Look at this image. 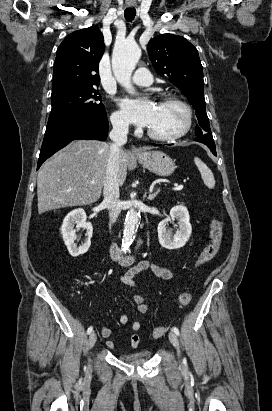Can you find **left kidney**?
Wrapping results in <instances>:
<instances>
[{
    "label": "left kidney",
    "mask_w": 272,
    "mask_h": 411,
    "mask_svg": "<svg viewBox=\"0 0 272 411\" xmlns=\"http://www.w3.org/2000/svg\"><path fill=\"white\" fill-rule=\"evenodd\" d=\"M178 220L177 231L173 233L168 228V223ZM158 239L162 247L166 249H179L189 240L192 232L190 216L187 208L183 205L174 206L170 215L158 224Z\"/></svg>",
    "instance_id": "5707ae66"
}]
</instances>
